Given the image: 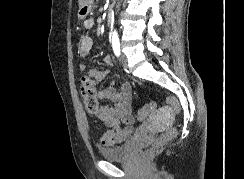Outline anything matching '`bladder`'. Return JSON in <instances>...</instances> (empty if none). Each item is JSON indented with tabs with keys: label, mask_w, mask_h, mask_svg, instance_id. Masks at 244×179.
I'll list each match as a JSON object with an SVG mask.
<instances>
[{
	"label": "bladder",
	"mask_w": 244,
	"mask_h": 179,
	"mask_svg": "<svg viewBox=\"0 0 244 179\" xmlns=\"http://www.w3.org/2000/svg\"><path fill=\"white\" fill-rule=\"evenodd\" d=\"M132 141L133 139L127 141L123 145H114L111 147L101 148L99 151L100 157L108 161L126 159L133 150L131 146Z\"/></svg>",
	"instance_id": "bladder-1"
}]
</instances>
